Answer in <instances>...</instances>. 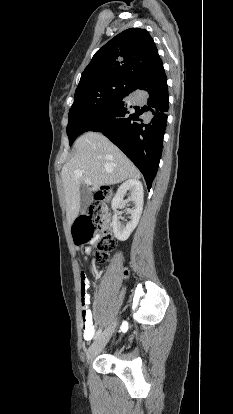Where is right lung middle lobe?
<instances>
[{
  "instance_id": "dd1d6c3e",
  "label": "right lung middle lobe",
  "mask_w": 233,
  "mask_h": 414,
  "mask_svg": "<svg viewBox=\"0 0 233 414\" xmlns=\"http://www.w3.org/2000/svg\"><path fill=\"white\" fill-rule=\"evenodd\" d=\"M130 81L108 79L94 83L75 92L74 103L69 111L67 135L70 145L80 134L84 123L92 116L120 99Z\"/></svg>"
}]
</instances>
